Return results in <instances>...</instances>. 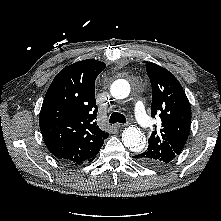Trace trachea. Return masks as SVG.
Listing matches in <instances>:
<instances>
[{
  "label": "trachea",
  "mask_w": 221,
  "mask_h": 221,
  "mask_svg": "<svg viewBox=\"0 0 221 221\" xmlns=\"http://www.w3.org/2000/svg\"><path fill=\"white\" fill-rule=\"evenodd\" d=\"M126 123V118L123 114L119 112H113L110 116L109 123Z\"/></svg>",
  "instance_id": "1"
}]
</instances>
